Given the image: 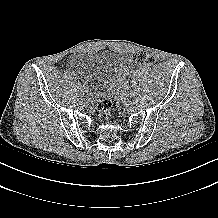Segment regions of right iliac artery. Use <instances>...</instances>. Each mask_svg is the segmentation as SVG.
<instances>
[{
	"label": "right iliac artery",
	"instance_id": "82829eb1",
	"mask_svg": "<svg viewBox=\"0 0 218 218\" xmlns=\"http://www.w3.org/2000/svg\"><path fill=\"white\" fill-rule=\"evenodd\" d=\"M82 86L85 88V85H80V88H81Z\"/></svg>",
	"mask_w": 218,
	"mask_h": 218
}]
</instances>
